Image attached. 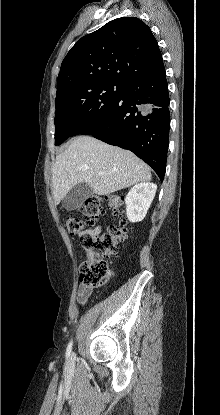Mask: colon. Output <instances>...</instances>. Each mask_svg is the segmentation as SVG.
Returning a JSON list of instances; mask_svg holds the SVG:
<instances>
[{"mask_svg": "<svg viewBox=\"0 0 220 415\" xmlns=\"http://www.w3.org/2000/svg\"><path fill=\"white\" fill-rule=\"evenodd\" d=\"M108 209L117 216H121L124 209V199L120 195H111L107 198ZM80 210L84 219L73 215L63 216L64 226L72 234H82L93 229L99 218L105 212L103 198L94 196L87 198ZM128 228L121 222L111 224L105 231H98L81 235V245L87 253V259L80 266V280L88 287H101L109 278L107 258L115 255L118 246L126 239Z\"/></svg>", "mask_w": 220, "mask_h": 415, "instance_id": "5ec220e1", "label": "colon"}]
</instances>
